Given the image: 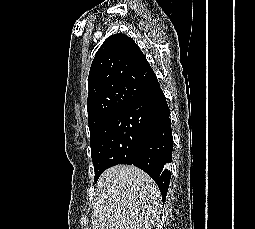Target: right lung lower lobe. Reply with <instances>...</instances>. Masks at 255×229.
<instances>
[{
    "label": "right lung lower lobe",
    "instance_id": "98d812e1",
    "mask_svg": "<svg viewBox=\"0 0 255 229\" xmlns=\"http://www.w3.org/2000/svg\"><path fill=\"white\" fill-rule=\"evenodd\" d=\"M129 113L143 119V133L134 159L129 163L145 171L157 183L165 201L171 172L173 138L170 110L157 81L149 93L126 108Z\"/></svg>",
    "mask_w": 255,
    "mask_h": 229
}]
</instances>
